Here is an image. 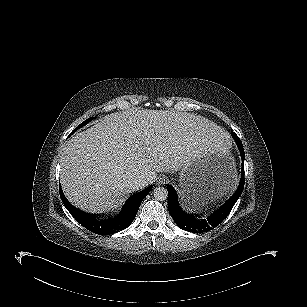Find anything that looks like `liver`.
<instances>
[{
	"label": "liver",
	"instance_id": "obj_1",
	"mask_svg": "<svg viewBox=\"0 0 307 307\" xmlns=\"http://www.w3.org/2000/svg\"><path fill=\"white\" fill-rule=\"evenodd\" d=\"M224 133L194 114L129 110L105 116L77 133L61 156L63 192L74 206L92 213L117 209L135 189L133 178L153 182L202 156Z\"/></svg>",
	"mask_w": 307,
	"mask_h": 307
}]
</instances>
